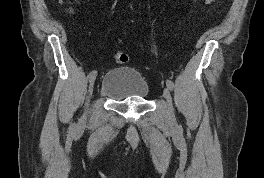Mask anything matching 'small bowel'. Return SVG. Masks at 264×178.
Wrapping results in <instances>:
<instances>
[{
  "mask_svg": "<svg viewBox=\"0 0 264 178\" xmlns=\"http://www.w3.org/2000/svg\"><path fill=\"white\" fill-rule=\"evenodd\" d=\"M212 0H207V2H211Z\"/></svg>",
  "mask_w": 264,
  "mask_h": 178,
  "instance_id": "1",
  "label": "small bowel"
}]
</instances>
